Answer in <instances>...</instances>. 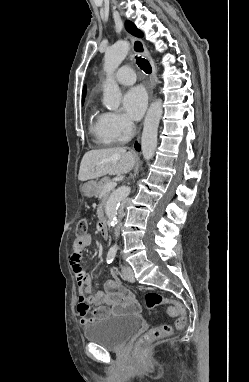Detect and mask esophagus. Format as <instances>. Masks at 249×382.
I'll return each mask as SVG.
<instances>
[{
  "instance_id": "1",
  "label": "esophagus",
  "mask_w": 249,
  "mask_h": 382,
  "mask_svg": "<svg viewBox=\"0 0 249 382\" xmlns=\"http://www.w3.org/2000/svg\"><path fill=\"white\" fill-rule=\"evenodd\" d=\"M128 38L131 40L132 50L134 53L145 56L148 59H150V62L152 65V74H151V78H150V100H152L153 99V92H154V88H155V79H156V75H157V67H156L153 59L151 58L144 42L141 39L136 38V37L128 36ZM139 137H140V133L138 135V139H139Z\"/></svg>"
}]
</instances>
